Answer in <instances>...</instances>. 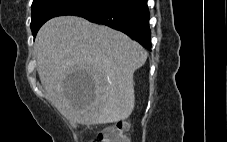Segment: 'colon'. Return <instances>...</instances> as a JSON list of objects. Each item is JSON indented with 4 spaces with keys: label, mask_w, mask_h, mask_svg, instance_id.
Here are the masks:
<instances>
[{
    "label": "colon",
    "mask_w": 227,
    "mask_h": 142,
    "mask_svg": "<svg viewBox=\"0 0 227 142\" xmlns=\"http://www.w3.org/2000/svg\"><path fill=\"white\" fill-rule=\"evenodd\" d=\"M129 124L121 121L114 126L101 130L91 142H128Z\"/></svg>",
    "instance_id": "1"
}]
</instances>
